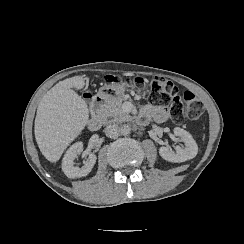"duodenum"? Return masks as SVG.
Wrapping results in <instances>:
<instances>
[{
  "mask_svg": "<svg viewBox=\"0 0 244 244\" xmlns=\"http://www.w3.org/2000/svg\"><path fill=\"white\" fill-rule=\"evenodd\" d=\"M112 96L111 93L101 92L97 94L91 102L92 115L88 122V128L91 131H96L105 122L104 107L106 102ZM141 122H143L141 120Z\"/></svg>",
  "mask_w": 244,
  "mask_h": 244,
  "instance_id": "duodenum-1",
  "label": "duodenum"
}]
</instances>
